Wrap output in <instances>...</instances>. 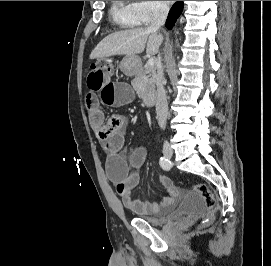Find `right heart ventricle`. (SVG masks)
<instances>
[{
  "label": "right heart ventricle",
  "instance_id": "obj_1",
  "mask_svg": "<svg viewBox=\"0 0 271 266\" xmlns=\"http://www.w3.org/2000/svg\"><path fill=\"white\" fill-rule=\"evenodd\" d=\"M111 15L115 23L121 27L138 25L132 6L126 1H112Z\"/></svg>",
  "mask_w": 271,
  "mask_h": 266
}]
</instances>
